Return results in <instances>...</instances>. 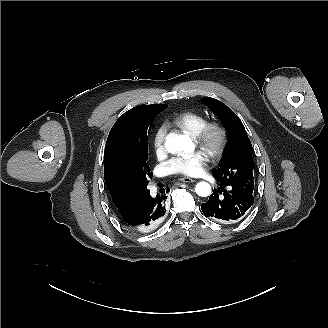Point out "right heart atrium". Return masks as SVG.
I'll return each instance as SVG.
<instances>
[{
	"label": "right heart atrium",
	"mask_w": 328,
	"mask_h": 328,
	"mask_svg": "<svg viewBox=\"0 0 328 328\" xmlns=\"http://www.w3.org/2000/svg\"><path fill=\"white\" fill-rule=\"evenodd\" d=\"M167 133V127L165 124H157L152 129L150 138V149L156 156H162L166 154L165 137Z\"/></svg>",
	"instance_id": "obj_1"
}]
</instances>
